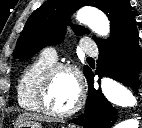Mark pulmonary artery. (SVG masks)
<instances>
[{
  "instance_id": "obj_1",
  "label": "pulmonary artery",
  "mask_w": 142,
  "mask_h": 128,
  "mask_svg": "<svg viewBox=\"0 0 142 128\" xmlns=\"http://www.w3.org/2000/svg\"><path fill=\"white\" fill-rule=\"evenodd\" d=\"M82 51L90 56H95L98 54V48L94 42L90 39H83L81 42ZM42 55L49 60L56 61L57 60V52L52 47H47L43 50Z\"/></svg>"
}]
</instances>
